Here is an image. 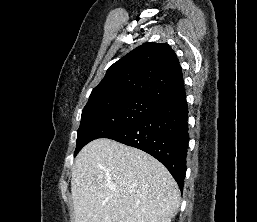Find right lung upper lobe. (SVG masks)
<instances>
[{
    "instance_id": "right-lung-upper-lobe-1",
    "label": "right lung upper lobe",
    "mask_w": 257,
    "mask_h": 222,
    "mask_svg": "<svg viewBox=\"0 0 257 222\" xmlns=\"http://www.w3.org/2000/svg\"><path fill=\"white\" fill-rule=\"evenodd\" d=\"M185 95L182 69L165 43H144L115 62L89 101L147 98L164 104Z\"/></svg>"
}]
</instances>
